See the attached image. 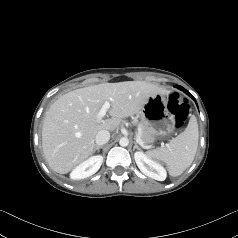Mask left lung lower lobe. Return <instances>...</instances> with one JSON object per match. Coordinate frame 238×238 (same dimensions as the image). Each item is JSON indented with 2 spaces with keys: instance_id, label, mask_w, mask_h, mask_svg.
Here are the masks:
<instances>
[{
  "instance_id": "left-lung-lower-lobe-1",
  "label": "left lung lower lobe",
  "mask_w": 238,
  "mask_h": 238,
  "mask_svg": "<svg viewBox=\"0 0 238 238\" xmlns=\"http://www.w3.org/2000/svg\"><path fill=\"white\" fill-rule=\"evenodd\" d=\"M176 87L179 88L180 90L184 91L186 94H188L191 98L194 99V97H193L186 89H184L183 87H181V86H179V85H177ZM194 100H195V99H194Z\"/></svg>"
}]
</instances>
